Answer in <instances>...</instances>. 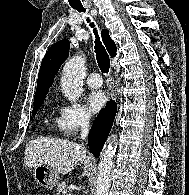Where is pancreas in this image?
Wrapping results in <instances>:
<instances>
[{
	"label": "pancreas",
	"mask_w": 189,
	"mask_h": 195,
	"mask_svg": "<svg viewBox=\"0 0 189 195\" xmlns=\"http://www.w3.org/2000/svg\"><path fill=\"white\" fill-rule=\"evenodd\" d=\"M57 195H67V192H68V189H67V185L62 182V183H59L57 185Z\"/></svg>",
	"instance_id": "pancreas-1"
}]
</instances>
